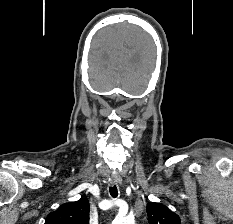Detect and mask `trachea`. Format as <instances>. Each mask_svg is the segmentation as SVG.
<instances>
[{"label": "trachea", "mask_w": 233, "mask_h": 224, "mask_svg": "<svg viewBox=\"0 0 233 224\" xmlns=\"http://www.w3.org/2000/svg\"><path fill=\"white\" fill-rule=\"evenodd\" d=\"M109 191H110V195H111L113 198H116V197L118 196V190H117L116 185L110 187V188H109Z\"/></svg>", "instance_id": "3493384b"}]
</instances>
